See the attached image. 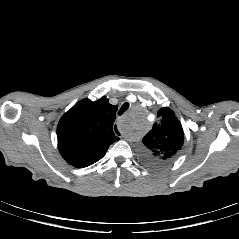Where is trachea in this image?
<instances>
[{
  "instance_id": "3493384b",
  "label": "trachea",
  "mask_w": 239,
  "mask_h": 239,
  "mask_svg": "<svg viewBox=\"0 0 239 239\" xmlns=\"http://www.w3.org/2000/svg\"><path fill=\"white\" fill-rule=\"evenodd\" d=\"M129 108V103H124L120 110L118 111V115H122Z\"/></svg>"
}]
</instances>
